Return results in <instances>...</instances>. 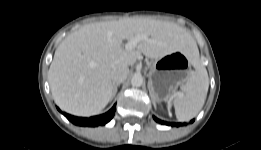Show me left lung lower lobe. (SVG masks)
I'll use <instances>...</instances> for the list:
<instances>
[{"label": "left lung lower lobe", "instance_id": "1", "mask_svg": "<svg viewBox=\"0 0 261 150\" xmlns=\"http://www.w3.org/2000/svg\"><path fill=\"white\" fill-rule=\"evenodd\" d=\"M154 119H155V121H157V122H159V123H161V124H166V125H171V126H181V125H185V123L184 124H181V123H167V122H164V121H161V120H158L156 117H154ZM194 120H192L191 121V123L193 122Z\"/></svg>", "mask_w": 261, "mask_h": 150}]
</instances>
